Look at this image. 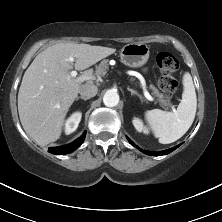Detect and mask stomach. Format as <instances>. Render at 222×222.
Instances as JSON below:
<instances>
[{
    "label": "stomach",
    "mask_w": 222,
    "mask_h": 222,
    "mask_svg": "<svg viewBox=\"0 0 222 222\" xmlns=\"http://www.w3.org/2000/svg\"><path fill=\"white\" fill-rule=\"evenodd\" d=\"M150 48L143 42L125 45L120 51L121 62L129 67H141L149 59Z\"/></svg>",
    "instance_id": "obj_1"
}]
</instances>
